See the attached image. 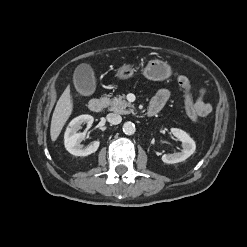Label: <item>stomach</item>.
<instances>
[{
    "instance_id": "stomach-1",
    "label": "stomach",
    "mask_w": 247,
    "mask_h": 247,
    "mask_svg": "<svg viewBox=\"0 0 247 247\" xmlns=\"http://www.w3.org/2000/svg\"><path fill=\"white\" fill-rule=\"evenodd\" d=\"M134 71L130 65L124 64L118 69L116 77L123 80L129 79L133 76ZM143 75L152 81H163L172 75V69L167 62L153 59L143 69Z\"/></svg>"
}]
</instances>
